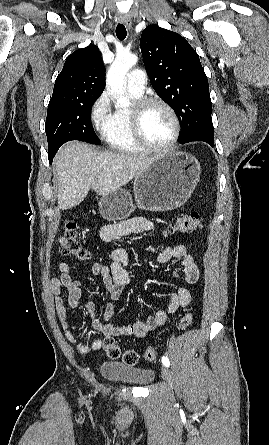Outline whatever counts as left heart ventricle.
Listing matches in <instances>:
<instances>
[{
    "label": "left heart ventricle",
    "mask_w": 269,
    "mask_h": 445,
    "mask_svg": "<svg viewBox=\"0 0 269 445\" xmlns=\"http://www.w3.org/2000/svg\"><path fill=\"white\" fill-rule=\"evenodd\" d=\"M174 131L171 116L160 106L150 107L142 119V132L149 144L160 147L166 144Z\"/></svg>",
    "instance_id": "obj_1"
}]
</instances>
